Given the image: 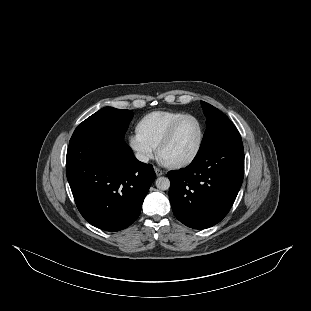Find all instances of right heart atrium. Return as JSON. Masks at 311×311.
Instances as JSON below:
<instances>
[{
	"label": "right heart atrium",
	"instance_id": "right-heart-atrium-1",
	"mask_svg": "<svg viewBox=\"0 0 311 311\" xmlns=\"http://www.w3.org/2000/svg\"><path fill=\"white\" fill-rule=\"evenodd\" d=\"M128 146L135 158L141 163H148L155 157V149L140 140L136 134L129 136Z\"/></svg>",
	"mask_w": 311,
	"mask_h": 311
}]
</instances>
